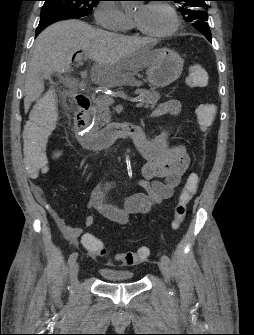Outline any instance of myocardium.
<instances>
[{"label":"myocardium","mask_w":254,"mask_h":335,"mask_svg":"<svg viewBox=\"0 0 254 335\" xmlns=\"http://www.w3.org/2000/svg\"><path fill=\"white\" fill-rule=\"evenodd\" d=\"M153 5L162 6V7L166 8L170 12V14L172 15V18H173V25H172V27L170 29H168L167 31H164V32L151 33V32H147L144 29H142V27L134 20V24H135L137 30L140 33H142V34H144L146 36L157 38V39H164V38L172 36L174 33L177 32V30L180 27V17L178 15L175 7L173 5L167 3V2H164V1L154 2Z\"/></svg>","instance_id":"1"}]
</instances>
